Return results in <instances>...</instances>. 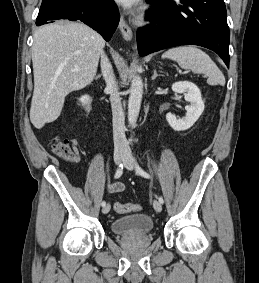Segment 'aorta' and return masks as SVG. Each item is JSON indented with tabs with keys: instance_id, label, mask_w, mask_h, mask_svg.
I'll return each instance as SVG.
<instances>
[{
	"instance_id": "1",
	"label": "aorta",
	"mask_w": 259,
	"mask_h": 283,
	"mask_svg": "<svg viewBox=\"0 0 259 283\" xmlns=\"http://www.w3.org/2000/svg\"><path fill=\"white\" fill-rule=\"evenodd\" d=\"M143 95V81L139 75L133 77L130 87L128 101V122L130 126H135L139 116L140 106Z\"/></svg>"
}]
</instances>
